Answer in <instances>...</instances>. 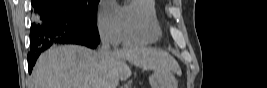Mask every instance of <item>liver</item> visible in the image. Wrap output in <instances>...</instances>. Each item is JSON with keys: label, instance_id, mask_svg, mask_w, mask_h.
Segmentation results:
<instances>
[{"label": "liver", "instance_id": "6515ba94", "mask_svg": "<svg viewBox=\"0 0 267 88\" xmlns=\"http://www.w3.org/2000/svg\"><path fill=\"white\" fill-rule=\"evenodd\" d=\"M126 61L144 70L179 73L167 52L134 46L112 51L109 56L78 45L54 46L38 58L33 69L34 88H115L131 70Z\"/></svg>", "mask_w": 267, "mask_h": 88}]
</instances>
